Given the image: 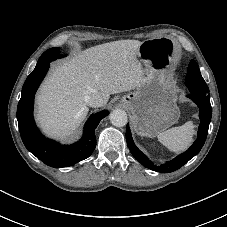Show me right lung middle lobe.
Listing matches in <instances>:
<instances>
[{
  "mask_svg": "<svg viewBox=\"0 0 227 227\" xmlns=\"http://www.w3.org/2000/svg\"><path fill=\"white\" fill-rule=\"evenodd\" d=\"M61 57H63V56L60 55L59 48H50L41 55V57L39 58V60L37 62L36 68H38L43 63L51 62V61H53L57 58H61Z\"/></svg>",
  "mask_w": 227,
  "mask_h": 227,
  "instance_id": "obj_1",
  "label": "right lung middle lobe"
}]
</instances>
